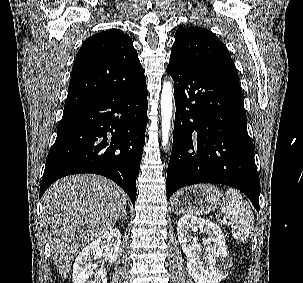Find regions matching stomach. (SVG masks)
Segmentation results:
<instances>
[{
	"instance_id": "1",
	"label": "stomach",
	"mask_w": 303,
	"mask_h": 283,
	"mask_svg": "<svg viewBox=\"0 0 303 283\" xmlns=\"http://www.w3.org/2000/svg\"><path fill=\"white\" fill-rule=\"evenodd\" d=\"M222 199L215 186L199 184L179 190L172 199V210L177 214H208L220 206Z\"/></svg>"
}]
</instances>
